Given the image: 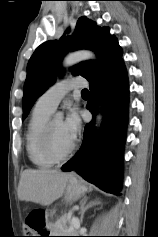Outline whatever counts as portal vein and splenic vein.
I'll use <instances>...</instances> for the list:
<instances>
[{
  "label": "portal vein and splenic vein",
  "instance_id": "18ae733b",
  "mask_svg": "<svg viewBox=\"0 0 158 237\" xmlns=\"http://www.w3.org/2000/svg\"><path fill=\"white\" fill-rule=\"evenodd\" d=\"M71 224L74 227H79L80 226L79 220L77 218H74V217L71 219Z\"/></svg>",
  "mask_w": 158,
  "mask_h": 237
}]
</instances>
